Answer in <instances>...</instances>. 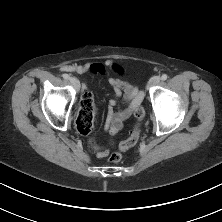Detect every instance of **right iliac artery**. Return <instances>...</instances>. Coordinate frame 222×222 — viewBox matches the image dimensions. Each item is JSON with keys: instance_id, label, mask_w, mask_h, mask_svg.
Returning a JSON list of instances; mask_svg holds the SVG:
<instances>
[{"instance_id": "right-iliac-artery-1", "label": "right iliac artery", "mask_w": 222, "mask_h": 222, "mask_svg": "<svg viewBox=\"0 0 222 222\" xmlns=\"http://www.w3.org/2000/svg\"><path fill=\"white\" fill-rule=\"evenodd\" d=\"M63 78L64 79H69V75L68 74H63Z\"/></svg>"}]
</instances>
